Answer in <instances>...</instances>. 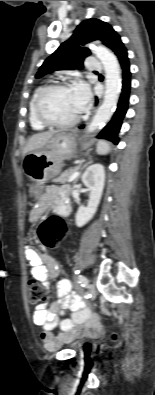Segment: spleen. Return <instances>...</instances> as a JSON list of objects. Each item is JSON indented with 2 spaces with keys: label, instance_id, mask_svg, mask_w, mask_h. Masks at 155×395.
<instances>
[{
  "label": "spleen",
  "instance_id": "1",
  "mask_svg": "<svg viewBox=\"0 0 155 395\" xmlns=\"http://www.w3.org/2000/svg\"><path fill=\"white\" fill-rule=\"evenodd\" d=\"M110 151V145L107 141L105 140H99L97 144V153L99 155H106Z\"/></svg>",
  "mask_w": 155,
  "mask_h": 395
}]
</instances>
